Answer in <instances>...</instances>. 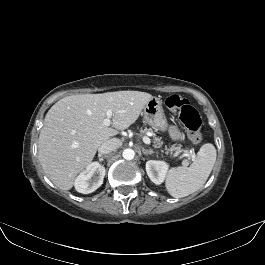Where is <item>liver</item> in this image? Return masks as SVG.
Segmentation results:
<instances>
[{
    "instance_id": "liver-1",
    "label": "liver",
    "mask_w": 265,
    "mask_h": 265,
    "mask_svg": "<svg viewBox=\"0 0 265 265\" xmlns=\"http://www.w3.org/2000/svg\"><path fill=\"white\" fill-rule=\"evenodd\" d=\"M152 95L140 91L73 95L47 112L40 131L38 156L51 181L62 190L94 159L97 149L139 117ZM107 110L112 127L104 125Z\"/></svg>"
}]
</instances>
